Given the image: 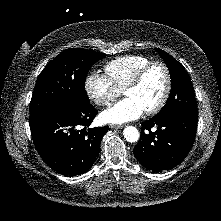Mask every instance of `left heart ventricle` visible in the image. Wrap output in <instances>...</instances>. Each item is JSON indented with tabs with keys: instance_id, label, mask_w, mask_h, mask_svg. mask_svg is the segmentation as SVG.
I'll list each match as a JSON object with an SVG mask.
<instances>
[{
	"instance_id": "obj_1",
	"label": "left heart ventricle",
	"mask_w": 221,
	"mask_h": 221,
	"mask_svg": "<svg viewBox=\"0 0 221 221\" xmlns=\"http://www.w3.org/2000/svg\"><path fill=\"white\" fill-rule=\"evenodd\" d=\"M165 88V74L161 67H152L140 84L129 89L125 95L134 98L145 110L155 106Z\"/></svg>"
}]
</instances>
